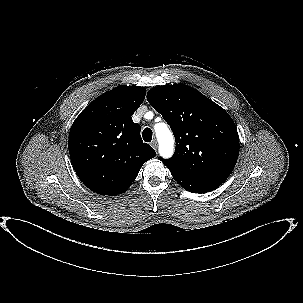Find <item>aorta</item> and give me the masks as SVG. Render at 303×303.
I'll return each mask as SVG.
<instances>
[{
    "label": "aorta",
    "instance_id": "obj_1",
    "mask_svg": "<svg viewBox=\"0 0 303 303\" xmlns=\"http://www.w3.org/2000/svg\"><path fill=\"white\" fill-rule=\"evenodd\" d=\"M155 132L159 142V153L163 158H169L174 152V138L167 125L159 123L155 125Z\"/></svg>",
    "mask_w": 303,
    "mask_h": 303
}]
</instances>
